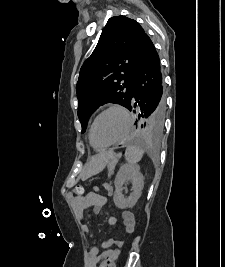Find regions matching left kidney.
<instances>
[{
	"mask_svg": "<svg viewBox=\"0 0 225 267\" xmlns=\"http://www.w3.org/2000/svg\"><path fill=\"white\" fill-rule=\"evenodd\" d=\"M132 182V194L129 197H124L122 194L123 185ZM114 203L120 209L132 208L140 198L144 186V177L140 172V167L137 165L124 164L119 169L115 181Z\"/></svg>",
	"mask_w": 225,
	"mask_h": 267,
	"instance_id": "obj_1",
	"label": "left kidney"
}]
</instances>
